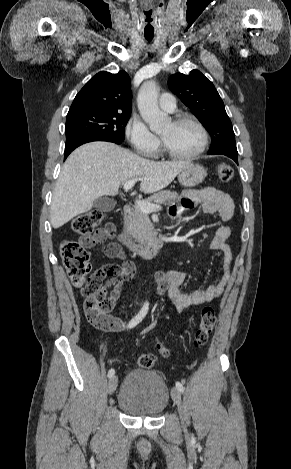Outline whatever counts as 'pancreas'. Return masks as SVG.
Returning <instances> with one entry per match:
<instances>
[{
  "label": "pancreas",
  "mask_w": 291,
  "mask_h": 469,
  "mask_svg": "<svg viewBox=\"0 0 291 469\" xmlns=\"http://www.w3.org/2000/svg\"><path fill=\"white\" fill-rule=\"evenodd\" d=\"M178 199L176 192L169 190L160 191L144 200L149 204L163 203L171 204ZM127 233L139 244H151L157 240L153 224L148 215L140 210L138 205L134 209L126 221Z\"/></svg>",
  "instance_id": "1"
}]
</instances>
